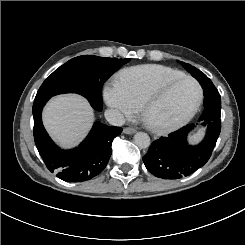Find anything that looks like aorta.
Listing matches in <instances>:
<instances>
[{
  "mask_svg": "<svg viewBox=\"0 0 245 245\" xmlns=\"http://www.w3.org/2000/svg\"><path fill=\"white\" fill-rule=\"evenodd\" d=\"M134 142L139 148H147L150 145V137L144 132H138L134 136Z\"/></svg>",
  "mask_w": 245,
  "mask_h": 245,
  "instance_id": "aorta-1",
  "label": "aorta"
}]
</instances>
